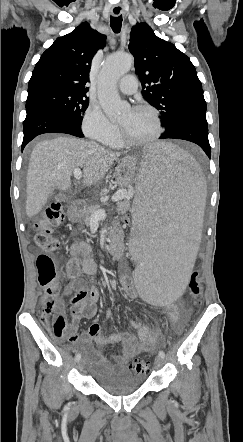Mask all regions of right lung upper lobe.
Listing matches in <instances>:
<instances>
[{"instance_id":"1","label":"right lung upper lobe","mask_w":243,"mask_h":442,"mask_svg":"<svg viewBox=\"0 0 243 442\" xmlns=\"http://www.w3.org/2000/svg\"><path fill=\"white\" fill-rule=\"evenodd\" d=\"M106 36L81 23L41 55L28 83V97L58 90L86 96L91 61L105 46Z\"/></svg>"}]
</instances>
